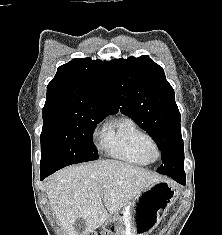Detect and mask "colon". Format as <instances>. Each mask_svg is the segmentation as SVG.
Returning <instances> with one entry per match:
<instances>
[{
    "label": "colon",
    "mask_w": 222,
    "mask_h": 235,
    "mask_svg": "<svg viewBox=\"0 0 222 235\" xmlns=\"http://www.w3.org/2000/svg\"><path fill=\"white\" fill-rule=\"evenodd\" d=\"M92 235H107V233L100 232V233H94Z\"/></svg>",
    "instance_id": "colon-1"
}]
</instances>
